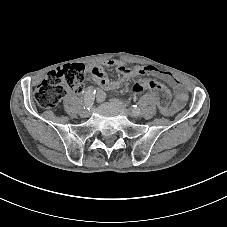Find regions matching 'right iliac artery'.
Wrapping results in <instances>:
<instances>
[{
    "label": "right iliac artery",
    "instance_id": "right-iliac-artery-1",
    "mask_svg": "<svg viewBox=\"0 0 227 227\" xmlns=\"http://www.w3.org/2000/svg\"><path fill=\"white\" fill-rule=\"evenodd\" d=\"M95 92L96 90L92 88H88L84 93V108L90 110L91 106L93 105L95 99Z\"/></svg>",
    "mask_w": 227,
    "mask_h": 227
}]
</instances>
